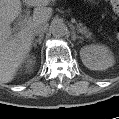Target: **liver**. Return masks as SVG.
Returning a JSON list of instances; mask_svg holds the SVG:
<instances>
[{
  "label": "liver",
  "mask_w": 119,
  "mask_h": 119,
  "mask_svg": "<svg viewBox=\"0 0 119 119\" xmlns=\"http://www.w3.org/2000/svg\"><path fill=\"white\" fill-rule=\"evenodd\" d=\"M33 6V17L12 35L10 24L21 12L20 0H0V82L8 83L28 57L34 40L33 28L47 23L52 16V8L47 7L52 0H23Z\"/></svg>",
  "instance_id": "1"
}]
</instances>
